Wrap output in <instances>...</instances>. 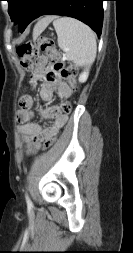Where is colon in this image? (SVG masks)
<instances>
[{
  "label": "colon",
  "instance_id": "1",
  "mask_svg": "<svg viewBox=\"0 0 133 253\" xmlns=\"http://www.w3.org/2000/svg\"><path fill=\"white\" fill-rule=\"evenodd\" d=\"M17 55L20 58L22 67L30 71L33 68L34 61L42 52L45 56H54V61H49L52 63V68L54 73L60 74L62 77L67 78L68 83H71L75 87V82L73 79L72 69L66 67L55 48L54 42L47 37H40L36 41H29L21 44L17 47ZM72 110V104L68 100H64L54 109V114H69ZM54 138L45 142L44 147H49Z\"/></svg>",
  "mask_w": 133,
  "mask_h": 253
}]
</instances>
